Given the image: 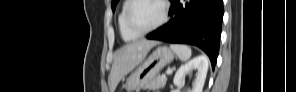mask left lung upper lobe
<instances>
[{
    "mask_svg": "<svg viewBox=\"0 0 296 92\" xmlns=\"http://www.w3.org/2000/svg\"><path fill=\"white\" fill-rule=\"evenodd\" d=\"M118 1H119V0H112L111 6H112V10H113V11L115 10V7H116Z\"/></svg>",
    "mask_w": 296,
    "mask_h": 92,
    "instance_id": "obj_1",
    "label": "left lung upper lobe"
}]
</instances>
